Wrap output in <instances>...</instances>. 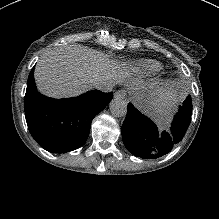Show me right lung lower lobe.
<instances>
[{"instance_id":"right-lung-lower-lobe-1","label":"right lung lower lobe","mask_w":219,"mask_h":219,"mask_svg":"<svg viewBox=\"0 0 219 219\" xmlns=\"http://www.w3.org/2000/svg\"><path fill=\"white\" fill-rule=\"evenodd\" d=\"M112 99V93L92 90L78 97L53 99L36 90L34 68L25 94L24 108L33 138L55 153L79 148L86 141L92 119Z\"/></svg>"}]
</instances>
